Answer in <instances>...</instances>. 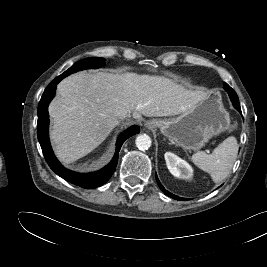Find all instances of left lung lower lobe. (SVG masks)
Masks as SVG:
<instances>
[{
	"label": "left lung lower lobe",
	"mask_w": 267,
	"mask_h": 267,
	"mask_svg": "<svg viewBox=\"0 0 267 267\" xmlns=\"http://www.w3.org/2000/svg\"><path fill=\"white\" fill-rule=\"evenodd\" d=\"M224 87H225V90H226V91L228 92V94H229V97H230V99H231V101H232V103H233L234 108H235L236 110H238V111L241 113V108H240L239 99H238L237 94L235 93V91H234L229 85H224ZM156 180H157V183H158L160 189H161L166 195H168V196H170V197H172V198H174V199H176V200H185V199H183V198H180V197H178V196H176V195H174V194H171V193H169L168 191H166V190L164 189V187L161 185V183H160V181H159L157 175H156Z\"/></svg>",
	"instance_id": "obj_1"
}]
</instances>
